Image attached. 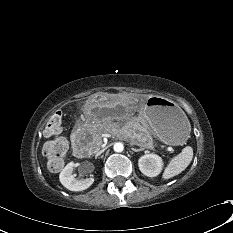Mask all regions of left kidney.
Segmentation results:
<instances>
[{
	"mask_svg": "<svg viewBox=\"0 0 233 233\" xmlns=\"http://www.w3.org/2000/svg\"><path fill=\"white\" fill-rule=\"evenodd\" d=\"M140 171L148 176L155 177L157 176L163 166L162 158L156 154H145L138 161Z\"/></svg>",
	"mask_w": 233,
	"mask_h": 233,
	"instance_id": "1",
	"label": "left kidney"
}]
</instances>
